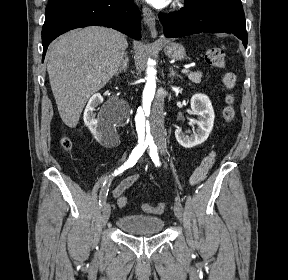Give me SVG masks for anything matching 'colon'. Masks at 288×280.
I'll list each match as a JSON object with an SVG mask.
<instances>
[{"instance_id": "1", "label": "colon", "mask_w": 288, "mask_h": 280, "mask_svg": "<svg viewBox=\"0 0 288 280\" xmlns=\"http://www.w3.org/2000/svg\"><path fill=\"white\" fill-rule=\"evenodd\" d=\"M205 60L210 66L222 69L225 67V52L221 47H210L205 52ZM236 79L237 78L235 73L227 72L223 76V84L226 88L232 89L236 84ZM226 103L227 104L223 110V117L226 122L230 123L234 120L236 116L233 97L228 96L226 99ZM61 145L67 151L70 150L72 147L71 140L68 137H63L61 139ZM215 160L216 154L214 152L206 155L200 165L192 173L190 177V184L194 186L204 181L210 169L213 167ZM119 204L123 207L126 206L127 198H121ZM142 209L145 212L151 214H162L165 209V205L164 203H158L156 205L143 204Z\"/></svg>"}]
</instances>
